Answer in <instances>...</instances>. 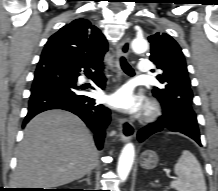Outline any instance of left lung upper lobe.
Here are the masks:
<instances>
[{"label": "left lung upper lobe", "instance_id": "obj_1", "mask_svg": "<svg viewBox=\"0 0 218 191\" xmlns=\"http://www.w3.org/2000/svg\"><path fill=\"white\" fill-rule=\"evenodd\" d=\"M151 43L150 60L162 73L157 75L160 87L153 88V95L161 102L166 117L172 119L180 111L181 105L192 110L191 83L184 55L177 42L166 33H154L149 36ZM153 71V70H152ZM194 113V111L192 110ZM187 129L198 130L194 117L184 122Z\"/></svg>", "mask_w": 218, "mask_h": 191}]
</instances>
